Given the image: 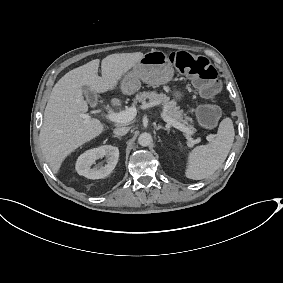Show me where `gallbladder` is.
<instances>
[{
  "mask_svg": "<svg viewBox=\"0 0 283 283\" xmlns=\"http://www.w3.org/2000/svg\"><path fill=\"white\" fill-rule=\"evenodd\" d=\"M86 95L89 97V101L92 103V107L95 110H98L101 107V104L98 102V97L95 95V92L92 89H89L86 92Z\"/></svg>",
  "mask_w": 283,
  "mask_h": 283,
  "instance_id": "bac80fb5",
  "label": "gallbladder"
}]
</instances>
